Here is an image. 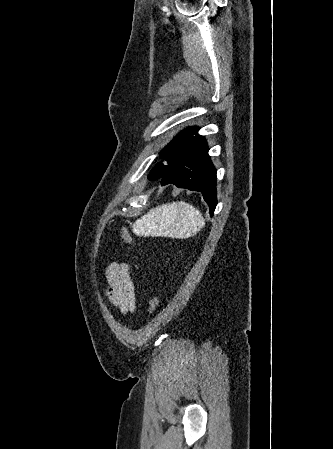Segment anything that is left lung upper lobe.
Here are the masks:
<instances>
[{
	"label": "left lung upper lobe",
	"mask_w": 333,
	"mask_h": 449,
	"mask_svg": "<svg viewBox=\"0 0 333 449\" xmlns=\"http://www.w3.org/2000/svg\"><path fill=\"white\" fill-rule=\"evenodd\" d=\"M198 129L189 127L180 132L160 153L164 159L163 163H158L149 175L150 180H156L171 173L179 167L188 157L198 139ZM196 136H194V135Z\"/></svg>",
	"instance_id": "obj_1"
}]
</instances>
